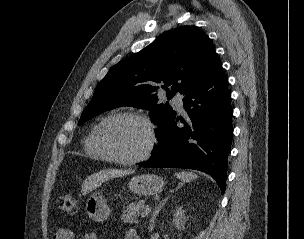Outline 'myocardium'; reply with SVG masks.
<instances>
[{
  "instance_id": "myocardium-1",
  "label": "myocardium",
  "mask_w": 304,
  "mask_h": 239,
  "mask_svg": "<svg viewBox=\"0 0 304 239\" xmlns=\"http://www.w3.org/2000/svg\"><path fill=\"white\" fill-rule=\"evenodd\" d=\"M122 118H133L136 120L141 121L144 123L148 129L149 132V142L144 149V151L139 154L138 156L131 157V158H123L115 154L105 143L103 138V133L105 128L112 122L122 119ZM95 141L98 146V148L102 151V153L107 157L108 160L121 164V165H134L137 163H140L151 155L153 152L156 143H157V132L155 125L153 122L143 113L136 112V111H122L118 113H114L112 115H109L105 119L102 120V122L99 124L96 134H95Z\"/></svg>"
}]
</instances>
